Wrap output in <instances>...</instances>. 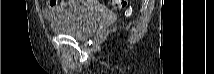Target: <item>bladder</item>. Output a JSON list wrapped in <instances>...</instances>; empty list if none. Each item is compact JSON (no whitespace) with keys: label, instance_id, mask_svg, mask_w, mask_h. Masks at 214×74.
Returning <instances> with one entry per match:
<instances>
[{"label":"bladder","instance_id":"bladder-1","mask_svg":"<svg viewBox=\"0 0 214 74\" xmlns=\"http://www.w3.org/2000/svg\"><path fill=\"white\" fill-rule=\"evenodd\" d=\"M101 13L87 5L65 6L52 19L53 32L85 39L97 28Z\"/></svg>","mask_w":214,"mask_h":74}]
</instances>
